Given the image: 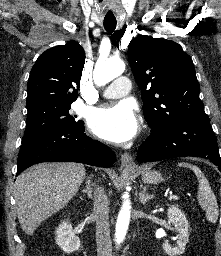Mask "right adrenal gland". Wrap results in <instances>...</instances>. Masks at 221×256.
Here are the masks:
<instances>
[{"label": "right adrenal gland", "instance_id": "1", "mask_svg": "<svg viewBox=\"0 0 221 256\" xmlns=\"http://www.w3.org/2000/svg\"><path fill=\"white\" fill-rule=\"evenodd\" d=\"M87 186L86 189L82 190L83 193H86L89 199H92V187L94 184H91L90 177L87 179Z\"/></svg>", "mask_w": 221, "mask_h": 256}]
</instances>
